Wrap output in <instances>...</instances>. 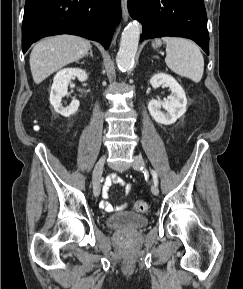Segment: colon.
<instances>
[{
  "mask_svg": "<svg viewBox=\"0 0 243 289\" xmlns=\"http://www.w3.org/2000/svg\"><path fill=\"white\" fill-rule=\"evenodd\" d=\"M134 209L139 213H144L149 209V205L147 202L140 200L134 204Z\"/></svg>",
  "mask_w": 243,
  "mask_h": 289,
  "instance_id": "1",
  "label": "colon"
}]
</instances>
